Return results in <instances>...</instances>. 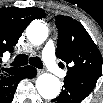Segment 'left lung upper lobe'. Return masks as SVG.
Instances as JSON below:
<instances>
[{
  "instance_id": "1",
  "label": "left lung upper lobe",
  "mask_w": 103,
  "mask_h": 103,
  "mask_svg": "<svg viewBox=\"0 0 103 103\" xmlns=\"http://www.w3.org/2000/svg\"><path fill=\"white\" fill-rule=\"evenodd\" d=\"M55 20L56 56L68 65L67 76L98 79L102 75V58L88 32L71 17L58 15Z\"/></svg>"
}]
</instances>
